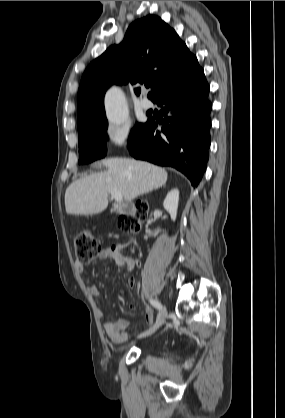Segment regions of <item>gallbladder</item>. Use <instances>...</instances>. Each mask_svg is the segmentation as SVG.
Returning a JSON list of instances; mask_svg holds the SVG:
<instances>
[{"label":"gallbladder","mask_w":285,"mask_h":418,"mask_svg":"<svg viewBox=\"0 0 285 418\" xmlns=\"http://www.w3.org/2000/svg\"><path fill=\"white\" fill-rule=\"evenodd\" d=\"M124 211V208H120L119 210H118V212L119 213H122Z\"/></svg>","instance_id":"bac80fb5"}]
</instances>
